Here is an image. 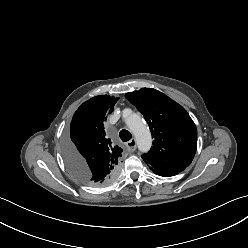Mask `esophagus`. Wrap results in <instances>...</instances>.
I'll return each instance as SVG.
<instances>
[{"label":"esophagus","mask_w":248,"mask_h":248,"mask_svg":"<svg viewBox=\"0 0 248 248\" xmlns=\"http://www.w3.org/2000/svg\"><path fill=\"white\" fill-rule=\"evenodd\" d=\"M126 147L129 151L133 152L136 150V140L133 138L126 143Z\"/></svg>","instance_id":"obj_1"}]
</instances>
